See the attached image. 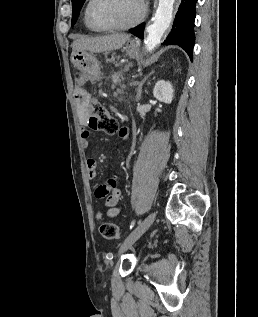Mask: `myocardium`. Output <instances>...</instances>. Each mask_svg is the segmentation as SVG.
<instances>
[{
  "label": "myocardium",
  "mask_w": 258,
  "mask_h": 317,
  "mask_svg": "<svg viewBox=\"0 0 258 317\" xmlns=\"http://www.w3.org/2000/svg\"><path fill=\"white\" fill-rule=\"evenodd\" d=\"M99 1L100 0H90L88 7H87V10H86V17H87L89 24L95 30H98V31H131V30L135 29L142 22V20L145 16V5L143 4V2L141 0H133V1H135V3L137 4V6L139 8V13H138L136 20L131 25H129V26H101L94 21V19L92 18V15H91L93 6Z\"/></svg>",
  "instance_id": "myocardium-1"
}]
</instances>
